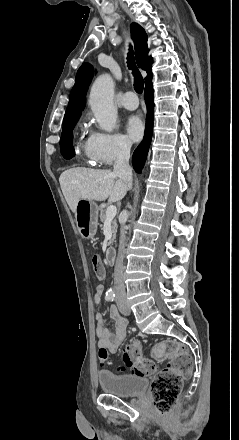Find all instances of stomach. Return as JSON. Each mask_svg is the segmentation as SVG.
I'll return each instance as SVG.
<instances>
[{"mask_svg": "<svg viewBox=\"0 0 239 440\" xmlns=\"http://www.w3.org/2000/svg\"><path fill=\"white\" fill-rule=\"evenodd\" d=\"M99 208L93 200H79L76 206L75 218L77 230L85 240L94 238L98 226Z\"/></svg>", "mask_w": 239, "mask_h": 440, "instance_id": "0dacf381", "label": "stomach"}]
</instances>
